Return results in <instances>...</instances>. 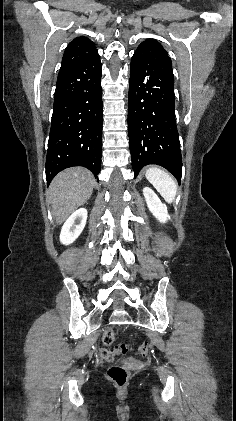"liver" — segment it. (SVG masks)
I'll return each mask as SVG.
<instances>
[{
    "label": "liver",
    "mask_w": 236,
    "mask_h": 421,
    "mask_svg": "<svg viewBox=\"0 0 236 421\" xmlns=\"http://www.w3.org/2000/svg\"><path fill=\"white\" fill-rule=\"evenodd\" d=\"M94 184L96 182L92 172L83 166L66 168L53 178L47 192L56 223L60 225L66 221L78 206L90 198Z\"/></svg>",
    "instance_id": "1"
}]
</instances>
